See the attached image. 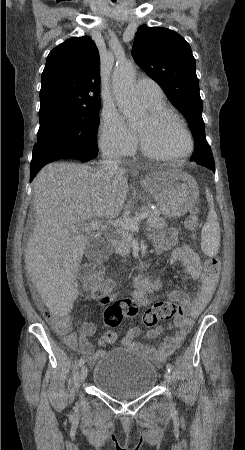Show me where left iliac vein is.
<instances>
[{"instance_id":"1","label":"left iliac vein","mask_w":245,"mask_h":450,"mask_svg":"<svg viewBox=\"0 0 245 450\" xmlns=\"http://www.w3.org/2000/svg\"><path fill=\"white\" fill-rule=\"evenodd\" d=\"M164 379H165V382H166L167 384L170 382V380H171V375H170V373H169L168 371L165 372V374H164Z\"/></svg>"}]
</instances>
